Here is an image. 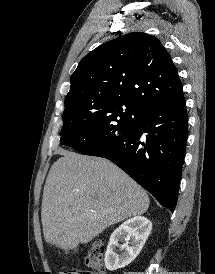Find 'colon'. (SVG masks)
Masks as SVG:
<instances>
[{
  "label": "colon",
  "mask_w": 215,
  "mask_h": 274,
  "mask_svg": "<svg viewBox=\"0 0 215 274\" xmlns=\"http://www.w3.org/2000/svg\"><path fill=\"white\" fill-rule=\"evenodd\" d=\"M106 244L103 240H95L91 243L88 255L86 258V264L89 270H68L65 274H101L104 269V253ZM104 274V273H103Z\"/></svg>",
  "instance_id": "5ec220e1"
}]
</instances>
